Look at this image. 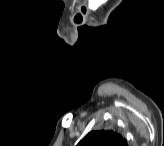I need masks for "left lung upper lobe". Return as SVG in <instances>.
Returning <instances> with one entry per match:
<instances>
[{"instance_id":"left-lung-upper-lobe-1","label":"left lung upper lobe","mask_w":164,"mask_h":146,"mask_svg":"<svg viewBox=\"0 0 164 146\" xmlns=\"http://www.w3.org/2000/svg\"><path fill=\"white\" fill-rule=\"evenodd\" d=\"M77 146H127V141L112 130L89 132Z\"/></svg>"}]
</instances>
